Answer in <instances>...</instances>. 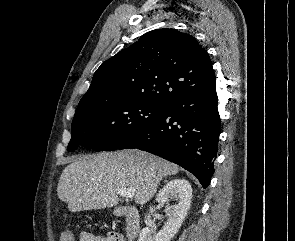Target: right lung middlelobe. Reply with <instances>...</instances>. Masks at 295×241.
Returning a JSON list of instances; mask_svg holds the SVG:
<instances>
[{
	"mask_svg": "<svg viewBox=\"0 0 295 241\" xmlns=\"http://www.w3.org/2000/svg\"><path fill=\"white\" fill-rule=\"evenodd\" d=\"M162 107L114 93L84 97L73 118L67 150L79 146L95 151L116 150L127 137L155 119Z\"/></svg>",
	"mask_w": 295,
	"mask_h": 241,
	"instance_id": "dd1d6c3e",
	"label": "right lung middle lobe"
}]
</instances>
